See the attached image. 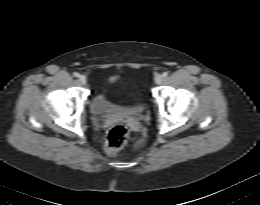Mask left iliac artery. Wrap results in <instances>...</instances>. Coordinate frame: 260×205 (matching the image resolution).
I'll list each match as a JSON object with an SVG mask.
<instances>
[{
	"instance_id": "left-iliac-artery-1",
	"label": "left iliac artery",
	"mask_w": 260,
	"mask_h": 205,
	"mask_svg": "<svg viewBox=\"0 0 260 205\" xmlns=\"http://www.w3.org/2000/svg\"><path fill=\"white\" fill-rule=\"evenodd\" d=\"M162 76H163V77H167V76H168V72H164V73L162 74Z\"/></svg>"
}]
</instances>
